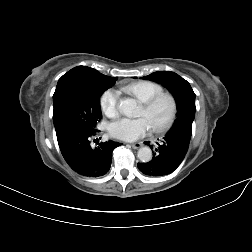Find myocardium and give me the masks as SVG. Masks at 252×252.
<instances>
[{
	"instance_id": "myocardium-1",
	"label": "myocardium",
	"mask_w": 252,
	"mask_h": 252,
	"mask_svg": "<svg viewBox=\"0 0 252 252\" xmlns=\"http://www.w3.org/2000/svg\"><path fill=\"white\" fill-rule=\"evenodd\" d=\"M163 98H166L169 101L170 109L166 120L160 126L150 128V130L156 134L165 133L172 127L177 114V100L173 94L169 92H161L142 104V107L146 111H149Z\"/></svg>"
}]
</instances>
